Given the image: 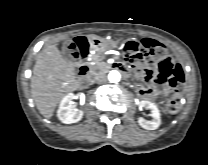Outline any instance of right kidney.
Wrapping results in <instances>:
<instances>
[{
    "label": "right kidney",
    "mask_w": 208,
    "mask_h": 165,
    "mask_svg": "<svg viewBox=\"0 0 208 165\" xmlns=\"http://www.w3.org/2000/svg\"><path fill=\"white\" fill-rule=\"evenodd\" d=\"M74 99L75 95L69 93L60 102L57 116L65 124L76 123L83 117V111L76 109L73 105Z\"/></svg>",
    "instance_id": "right-kidney-1"
}]
</instances>
